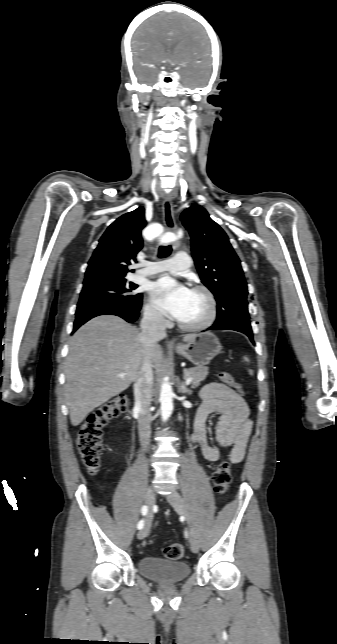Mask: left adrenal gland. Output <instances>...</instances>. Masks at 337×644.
<instances>
[{
  "label": "left adrenal gland",
  "mask_w": 337,
  "mask_h": 644,
  "mask_svg": "<svg viewBox=\"0 0 337 644\" xmlns=\"http://www.w3.org/2000/svg\"><path fill=\"white\" fill-rule=\"evenodd\" d=\"M179 392L190 395L192 393V390L187 388L186 385L182 382L179 384Z\"/></svg>",
  "instance_id": "a2214340"
}]
</instances>
